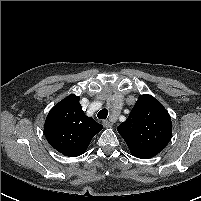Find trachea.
Instances as JSON below:
<instances>
[{"label": "trachea", "instance_id": "3493384b", "mask_svg": "<svg viewBox=\"0 0 201 201\" xmlns=\"http://www.w3.org/2000/svg\"><path fill=\"white\" fill-rule=\"evenodd\" d=\"M107 116H108V110L105 109V108L102 109V110H100V111L98 112V114H97V117H98L99 119H106Z\"/></svg>", "mask_w": 201, "mask_h": 201}]
</instances>
